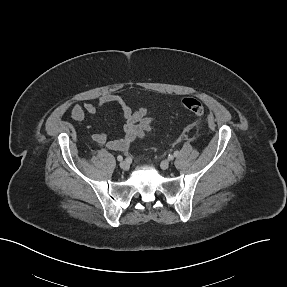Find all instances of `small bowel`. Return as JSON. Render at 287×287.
Listing matches in <instances>:
<instances>
[{"label":"small bowel","instance_id":"1","mask_svg":"<svg viewBox=\"0 0 287 287\" xmlns=\"http://www.w3.org/2000/svg\"><path fill=\"white\" fill-rule=\"evenodd\" d=\"M108 104H117L121 107L124 119L121 128L122 137L109 139L105 133H96L91 136V139L95 144L105 146L110 150L126 151L134 141L142 138L151 130L152 117L147 108L141 107L133 110L120 96L108 94L99 98L96 103L86 102L83 105H73L70 114L74 120L82 122L87 114H96Z\"/></svg>","mask_w":287,"mask_h":287}]
</instances>
